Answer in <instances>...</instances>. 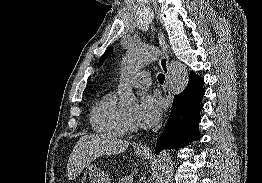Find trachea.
Listing matches in <instances>:
<instances>
[{
    "label": "trachea",
    "mask_w": 262,
    "mask_h": 183,
    "mask_svg": "<svg viewBox=\"0 0 262 183\" xmlns=\"http://www.w3.org/2000/svg\"><path fill=\"white\" fill-rule=\"evenodd\" d=\"M164 80H165V76L163 74H159L158 75V81L163 84L164 83Z\"/></svg>",
    "instance_id": "obj_1"
}]
</instances>
